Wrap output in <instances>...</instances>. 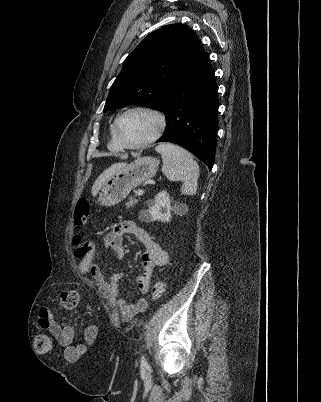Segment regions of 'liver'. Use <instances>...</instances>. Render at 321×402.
Instances as JSON below:
<instances>
[{
	"label": "liver",
	"mask_w": 321,
	"mask_h": 402,
	"mask_svg": "<svg viewBox=\"0 0 321 402\" xmlns=\"http://www.w3.org/2000/svg\"><path fill=\"white\" fill-rule=\"evenodd\" d=\"M126 163H115L111 165L108 169H106L95 181V183L92 186V194L95 195L97 194L98 190L101 188V186L105 183V181L111 177L114 173L119 171L121 168L126 166Z\"/></svg>",
	"instance_id": "obj_1"
}]
</instances>
